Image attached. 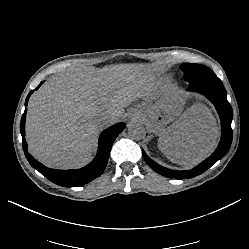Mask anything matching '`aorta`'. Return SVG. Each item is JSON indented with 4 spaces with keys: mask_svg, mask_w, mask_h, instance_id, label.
<instances>
[{
    "mask_svg": "<svg viewBox=\"0 0 249 249\" xmlns=\"http://www.w3.org/2000/svg\"><path fill=\"white\" fill-rule=\"evenodd\" d=\"M128 134L134 140H141L145 137L146 130L141 123H131L128 127Z\"/></svg>",
    "mask_w": 249,
    "mask_h": 249,
    "instance_id": "1",
    "label": "aorta"
}]
</instances>
